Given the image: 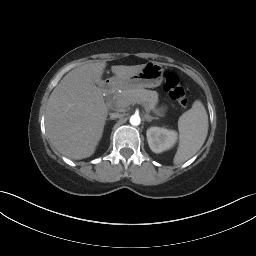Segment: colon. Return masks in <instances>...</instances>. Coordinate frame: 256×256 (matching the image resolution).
<instances>
[{
  "instance_id": "1",
  "label": "colon",
  "mask_w": 256,
  "mask_h": 256,
  "mask_svg": "<svg viewBox=\"0 0 256 256\" xmlns=\"http://www.w3.org/2000/svg\"><path fill=\"white\" fill-rule=\"evenodd\" d=\"M164 90L179 105L183 107L187 105L188 99L185 88L176 73L166 72L164 74Z\"/></svg>"
}]
</instances>
